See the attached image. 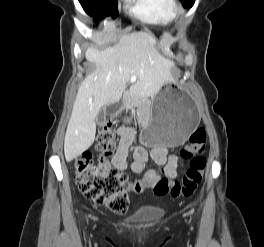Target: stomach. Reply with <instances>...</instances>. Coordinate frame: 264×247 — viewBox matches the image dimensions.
Returning <instances> with one entry per match:
<instances>
[{
    "label": "stomach",
    "instance_id": "0dacf381",
    "mask_svg": "<svg viewBox=\"0 0 264 247\" xmlns=\"http://www.w3.org/2000/svg\"><path fill=\"white\" fill-rule=\"evenodd\" d=\"M161 91L150 104L141 139L148 146L180 147L199 121L197 107L182 86L166 82Z\"/></svg>",
    "mask_w": 264,
    "mask_h": 247
}]
</instances>
